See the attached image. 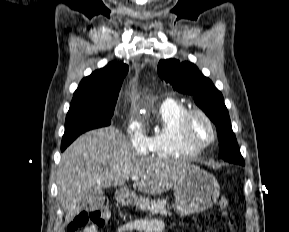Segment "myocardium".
Returning <instances> with one entry per match:
<instances>
[{"label":"myocardium","mask_w":289,"mask_h":232,"mask_svg":"<svg viewBox=\"0 0 289 232\" xmlns=\"http://www.w3.org/2000/svg\"><path fill=\"white\" fill-rule=\"evenodd\" d=\"M194 117H200L202 118L209 126L211 131V138L207 142L203 144H198L194 142L190 137V123ZM179 136L182 140V142L188 146L189 148H192L198 152L208 148L211 146L216 138H217V131L216 127L211 120V118L202 110L199 109H189L187 110L181 117L179 122Z\"/></svg>","instance_id":"myocardium-1"}]
</instances>
